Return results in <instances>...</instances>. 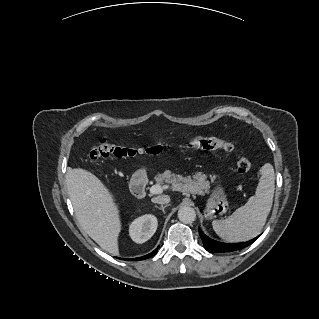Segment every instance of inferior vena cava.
<instances>
[{
    "instance_id": "inferior-vena-cava-1",
    "label": "inferior vena cava",
    "mask_w": 319,
    "mask_h": 319,
    "mask_svg": "<svg viewBox=\"0 0 319 319\" xmlns=\"http://www.w3.org/2000/svg\"><path fill=\"white\" fill-rule=\"evenodd\" d=\"M153 203L157 204H168L170 202V197L168 195H160L152 198Z\"/></svg>"
}]
</instances>
